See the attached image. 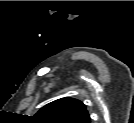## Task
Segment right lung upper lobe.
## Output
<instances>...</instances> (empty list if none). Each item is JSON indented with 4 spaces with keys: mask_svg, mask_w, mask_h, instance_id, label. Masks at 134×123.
I'll return each instance as SVG.
<instances>
[{
    "mask_svg": "<svg viewBox=\"0 0 134 123\" xmlns=\"http://www.w3.org/2000/svg\"><path fill=\"white\" fill-rule=\"evenodd\" d=\"M31 118L36 123H91L85 105L69 97L45 105Z\"/></svg>",
    "mask_w": 134,
    "mask_h": 123,
    "instance_id": "obj_1",
    "label": "right lung upper lobe"
}]
</instances>
